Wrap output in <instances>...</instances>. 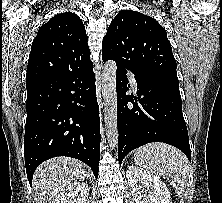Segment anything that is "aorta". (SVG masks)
I'll list each match as a JSON object with an SVG mask.
<instances>
[{
    "label": "aorta",
    "mask_w": 222,
    "mask_h": 203,
    "mask_svg": "<svg viewBox=\"0 0 222 203\" xmlns=\"http://www.w3.org/2000/svg\"><path fill=\"white\" fill-rule=\"evenodd\" d=\"M116 71V62L109 60L102 72L105 129L108 143L112 148L118 145Z\"/></svg>",
    "instance_id": "1"
}]
</instances>
